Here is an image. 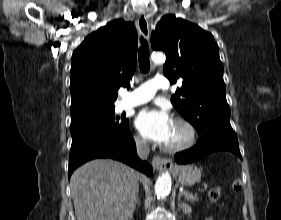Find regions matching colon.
I'll use <instances>...</instances> for the list:
<instances>
[{
  "mask_svg": "<svg viewBox=\"0 0 281 220\" xmlns=\"http://www.w3.org/2000/svg\"><path fill=\"white\" fill-rule=\"evenodd\" d=\"M233 190L235 192H239L241 190V183L238 179H235L233 181ZM221 195V189L219 186H214L211 189H209L207 193V198L210 202L214 203L219 200Z\"/></svg>",
  "mask_w": 281,
  "mask_h": 220,
  "instance_id": "5ec220e1",
  "label": "colon"
}]
</instances>
